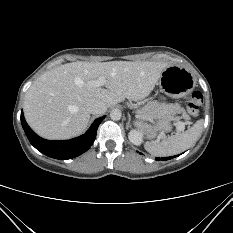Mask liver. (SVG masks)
Here are the masks:
<instances>
[{"mask_svg":"<svg viewBox=\"0 0 233 233\" xmlns=\"http://www.w3.org/2000/svg\"><path fill=\"white\" fill-rule=\"evenodd\" d=\"M169 66L160 62H72L37 78L25 94L24 115L41 137L70 139L81 134L90 120L86 103L98 100L107 107L122 100L140 101L154 89ZM102 79L105 88L95 86Z\"/></svg>","mask_w":233,"mask_h":233,"instance_id":"1","label":"liver"}]
</instances>
